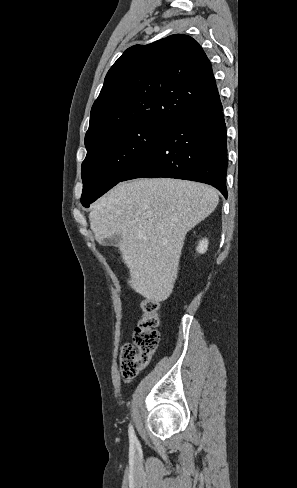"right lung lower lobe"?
I'll return each instance as SVG.
<instances>
[{"mask_svg":"<svg viewBox=\"0 0 297 488\" xmlns=\"http://www.w3.org/2000/svg\"><path fill=\"white\" fill-rule=\"evenodd\" d=\"M220 96L172 122L122 181L166 177L210 184L225 198L227 133Z\"/></svg>","mask_w":297,"mask_h":488,"instance_id":"right-lung-lower-lobe-1","label":"right lung lower lobe"}]
</instances>
